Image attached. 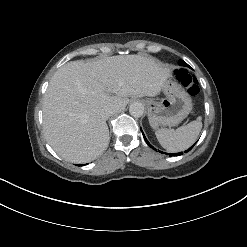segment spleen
I'll list each match as a JSON object with an SVG mask.
<instances>
[{
	"instance_id": "spleen-1",
	"label": "spleen",
	"mask_w": 247,
	"mask_h": 247,
	"mask_svg": "<svg viewBox=\"0 0 247 247\" xmlns=\"http://www.w3.org/2000/svg\"><path fill=\"white\" fill-rule=\"evenodd\" d=\"M202 128L201 117L176 130L158 129L155 134L160 145L169 152L188 149L196 141Z\"/></svg>"
}]
</instances>
